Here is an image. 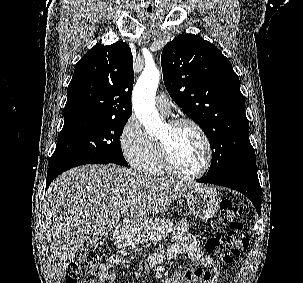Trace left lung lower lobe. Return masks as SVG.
<instances>
[{
	"label": "left lung lower lobe",
	"instance_id": "left-lung-lower-lobe-1",
	"mask_svg": "<svg viewBox=\"0 0 303 283\" xmlns=\"http://www.w3.org/2000/svg\"><path fill=\"white\" fill-rule=\"evenodd\" d=\"M197 182L210 183L235 189L247 196L261 213V187L257 175L256 161L216 175H207Z\"/></svg>",
	"mask_w": 303,
	"mask_h": 283
}]
</instances>
